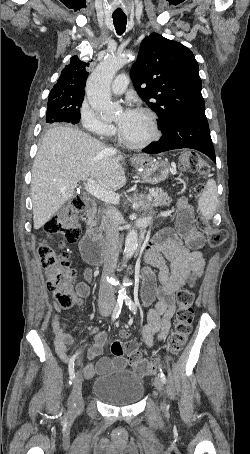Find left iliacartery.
Returning <instances> with one entry per match:
<instances>
[{
	"label": "left iliac artery",
	"mask_w": 250,
	"mask_h": 454,
	"mask_svg": "<svg viewBox=\"0 0 250 454\" xmlns=\"http://www.w3.org/2000/svg\"><path fill=\"white\" fill-rule=\"evenodd\" d=\"M125 303L129 307V309L135 314L137 311V307H136V304L132 301V299L130 297H125ZM159 376H160L162 382L166 383V377H165L164 373L162 372L161 368H160Z\"/></svg>",
	"instance_id": "obj_1"
}]
</instances>
